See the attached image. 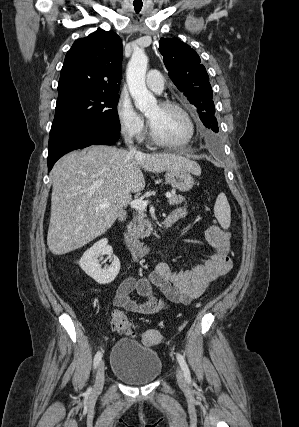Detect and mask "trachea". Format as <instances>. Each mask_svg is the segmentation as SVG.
Returning <instances> with one entry per match:
<instances>
[{
	"instance_id": "trachea-1",
	"label": "trachea",
	"mask_w": 299,
	"mask_h": 427,
	"mask_svg": "<svg viewBox=\"0 0 299 427\" xmlns=\"http://www.w3.org/2000/svg\"><path fill=\"white\" fill-rule=\"evenodd\" d=\"M134 9L136 13H139L142 9V4H134Z\"/></svg>"
}]
</instances>
